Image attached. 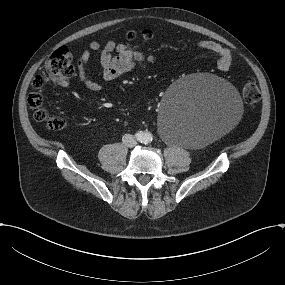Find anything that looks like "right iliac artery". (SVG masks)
<instances>
[{"mask_svg":"<svg viewBox=\"0 0 285 285\" xmlns=\"http://www.w3.org/2000/svg\"><path fill=\"white\" fill-rule=\"evenodd\" d=\"M135 137L138 141H142L143 140V133L142 132H137L135 134Z\"/></svg>","mask_w":285,"mask_h":285,"instance_id":"1","label":"right iliac artery"}]
</instances>
